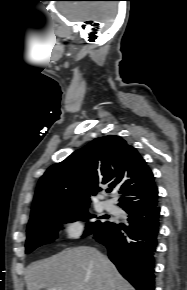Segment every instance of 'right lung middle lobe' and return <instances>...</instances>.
<instances>
[{
  "label": "right lung middle lobe",
  "instance_id": "1",
  "mask_svg": "<svg viewBox=\"0 0 187 290\" xmlns=\"http://www.w3.org/2000/svg\"><path fill=\"white\" fill-rule=\"evenodd\" d=\"M88 206L73 209L61 210L49 213L34 222L28 224L27 240H26V254L32 252L35 248L53 242L57 237V232L61 227V223L74 222L77 220H87V218H95L89 215L87 211ZM111 223L110 221H95L89 222L88 230L83 234L87 236L97 232L99 229Z\"/></svg>",
  "mask_w": 187,
  "mask_h": 290
}]
</instances>
